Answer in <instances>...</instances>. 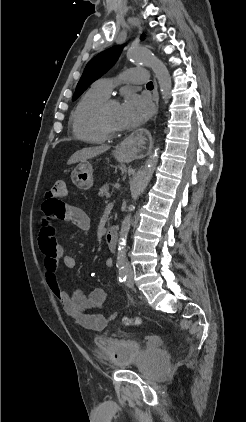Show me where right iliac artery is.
I'll return each mask as SVG.
<instances>
[{
  "label": "right iliac artery",
  "mask_w": 246,
  "mask_h": 422,
  "mask_svg": "<svg viewBox=\"0 0 246 422\" xmlns=\"http://www.w3.org/2000/svg\"><path fill=\"white\" fill-rule=\"evenodd\" d=\"M126 277H127L126 271L124 269H120L119 270V275H118L119 281L120 282H125L126 281Z\"/></svg>",
  "instance_id": "82829eb1"
}]
</instances>
